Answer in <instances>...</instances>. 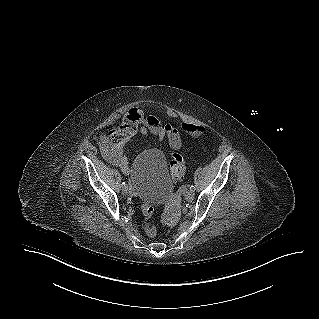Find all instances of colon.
Here are the masks:
<instances>
[{
    "instance_id": "colon-1",
    "label": "colon",
    "mask_w": 319,
    "mask_h": 319,
    "mask_svg": "<svg viewBox=\"0 0 319 319\" xmlns=\"http://www.w3.org/2000/svg\"><path fill=\"white\" fill-rule=\"evenodd\" d=\"M176 128L181 134L187 135L188 138L200 141L202 143H207L211 139V130L207 125H200L196 122H188L186 119H178L176 121ZM169 167L171 171V176L174 181H180L184 178L186 173V165L183 157L178 153H172L169 158ZM143 218L140 221L141 229L148 236H155L157 233V228L155 225L153 212L154 209L149 204L144 203L142 205Z\"/></svg>"
}]
</instances>
